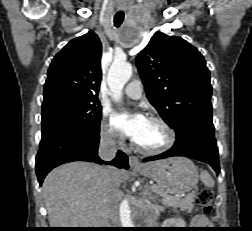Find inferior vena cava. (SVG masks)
I'll return each instance as SVG.
<instances>
[{
  "label": "inferior vena cava",
  "mask_w": 252,
  "mask_h": 231,
  "mask_svg": "<svg viewBox=\"0 0 252 231\" xmlns=\"http://www.w3.org/2000/svg\"><path fill=\"white\" fill-rule=\"evenodd\" d=\"M117 153V147L115 142V136L112 133H103L100 138L99 157L105 161H111ZM107 172L109 173V218L114 228L120 226V220L118 216V187L112 174L115 172V168L109 166Z\"/></svg>",
  "instance_id": "1"
}]
</instances>
